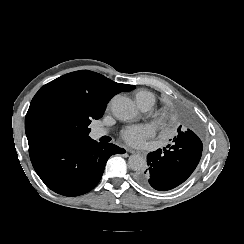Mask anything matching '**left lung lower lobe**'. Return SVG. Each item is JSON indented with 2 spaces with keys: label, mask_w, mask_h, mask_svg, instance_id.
I'll return each mask as SVG.
<instances>
[{
  "label": "left lung lower lobe",
  "mask_w": 244,
  "mask_h": 244,
  "mask_svg": "<svg viewBox=\"0 0 244 244\" xmlns=\"http://www.w3.org/2000/svg\"><path fill=\"white\" fill-rule=\"evenodd\" d=\"M180 123L171 144L148 154L149 167L136 176L141 186L170 190L183 183L195 170L203 149L199 127L190 116H182Z\"/></svg>",
  "instance_id": "0a47b994"
}]
</instances>
